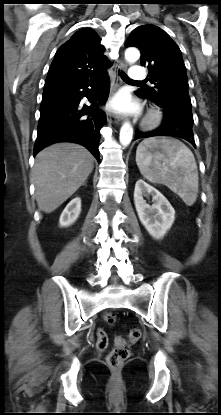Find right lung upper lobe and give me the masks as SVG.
Listing matches in <instances>:
<instances>
[{"label":"right lung upper lobe","instance_id":"cb5924a9","mask_svg":"<svg viewBox=\"0 0 221 415\" xmlns=\"http://www.w3.org/2000/svg\"><path fill=\"white\" fill-rule=\"evenodd\" d=\"M99 36L89 28L77 31L57 50L45 87L67 85L98 78L112 66Z\"/></svg>","mask_w":221,"mask_h":415}]
</instances>
